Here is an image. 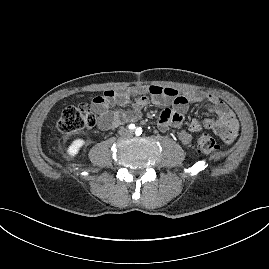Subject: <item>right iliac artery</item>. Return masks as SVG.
<instances>
[{
	"mask_svg": "<svg viewBox=\"0 0 269 269\" xmlns=\"http://www.w3.org/2000/svg\"><path fill=\"white\" fill-rule=\"evenodd\" d=\"M128 129L134 131L136 129V126L134 124H129Z\"/></svg>",
	"mask_w": 269,
	"mask_h": 269,
	"instance_id": "82829eb1",
	"label": "right iliac artery"
}]
</instances>
